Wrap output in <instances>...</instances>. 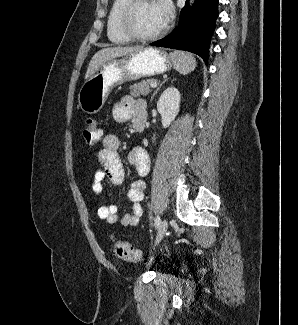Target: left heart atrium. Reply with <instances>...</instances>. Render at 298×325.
Returning <instances> with one entry per match:
<instances>
[{
  "label": "left heart atrium",
  "instance_id": "39dd6f15",
  "mask_svg": "<svg viewBox=\"0 0 298 325\" xmlns=\"http://www.w3.org/2000/svg\"><path fill=\"white\" fill-rule=\"evenodd\" d=\"M162 8H163V19H164V23L166 24L171 15V7L169 5H163Z\"/></svg>",
  "mask_w": 298,
  "mask_h": 325
}]
</instances>
